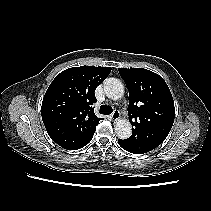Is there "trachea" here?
Returning <instances> with one entry per match:
<instances>
[{
  "label": "trachea",
  "mask_w": 211,
  "mask_h": 211,
  "mask_svg": "<svg viewBox=\"0 0 211 211\" xmlns=\"http://www.w3.org/2000/svg\"><path fill=\"white\" fill-rule=\"evenodd\" d=\"M113 112L112 107L108 106V105H101L100 106V113L104 114V115H109Z\"/></svg>",
  "instance_id": "trachea-1"
}]
</instances>
